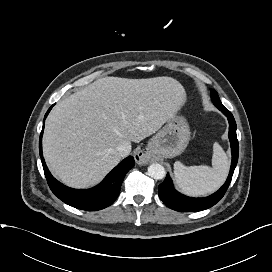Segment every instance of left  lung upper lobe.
Wrapping results in <instances>:
<instances>
[{"mask_svg":"<svg viewBox=\"0 0 272 272\" xmlns=\"http://www.w3.org/2000/svg\"><path fill=\"white\" fill-rule=\"evenodd\" d=\"M211 97H212V99H218V100H220L217 92L214 91V90H211Z\"/></svg>","mask_w":272,"mask_h":272,"instance_id":"5c2ea615","label":"left lung upper lobe"}]
</instances>
